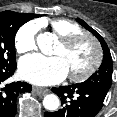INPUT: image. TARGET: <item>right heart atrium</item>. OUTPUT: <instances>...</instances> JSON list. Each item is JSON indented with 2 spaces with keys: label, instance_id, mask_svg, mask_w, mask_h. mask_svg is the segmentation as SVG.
Segmentation results:
<instances>
[{
  "label": "right heart atrium",
  "instance_id": "d8ad5b80",
  "mask_svg": "<svg viewBox=\"0 0 117 117\" xmlns=\"http://www.w3.org/2000/svg\"><path fill=\"white\" fill-rule=\"evenodd\" d=\"M40 25L36 21L24 24L15 36V47L19 53H26L36 48V39Z\"/></svg>",
  "mask_w": 117,
  "mask_h": 117
}]
</instances>
